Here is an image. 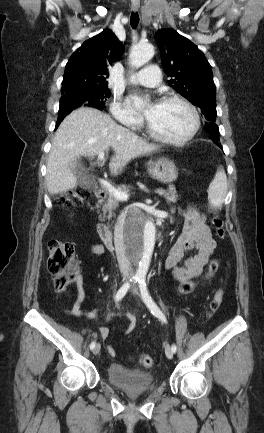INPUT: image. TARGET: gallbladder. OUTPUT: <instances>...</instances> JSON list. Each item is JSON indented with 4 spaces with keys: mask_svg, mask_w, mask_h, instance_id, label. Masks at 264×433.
I'll use <instances>...</instances> for the list:
<instances>
[{
    "mask_svg": "<svg viewBox=\"0 0 264 433\" xmlns=\"http://www.w3.org/2000/svg\"><path fill=\"white\" fill-rule=\"evenodd\" d=\"M74 172L77 177V181L80 187L85 189L94 188V184L90 177L86 174L84 166L81 164L80 159L78 158L75 162Z\"/></svg>",
    "mask_w": 264,
    "mask_h": 433,
    "instance_id": "bac80fb5",
    "label": "gallbladder"
}]
</instances>
